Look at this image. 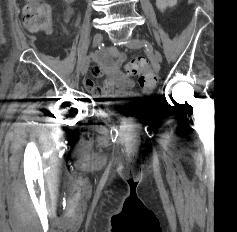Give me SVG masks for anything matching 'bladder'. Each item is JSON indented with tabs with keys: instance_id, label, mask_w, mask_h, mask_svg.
Segmentation results:
<instances>
[{
	"instance_id": "31cf9c89",
	"label": "bladder",
	"mask_w": 237,
	"mask_h": 232,
	"mask_svg": "<svg viewBox=\"0 0 237 232\" xmlns=\"http://www.w3.org/2000/svg\"><path fill=\"white\" fill-rule=\"evenodd\" d=\"M125 96H132V93L129 91ZM100 104L110 116L121 118L133 117L137 115L142 108V103L139 100L122 97L104 100Z\"/></svg>"
}]
</instances>
